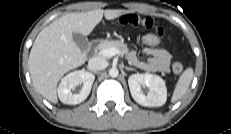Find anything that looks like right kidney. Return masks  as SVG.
I'll return each mask as SVG.
<instances>
[{
  "label": "right kidney",
  "instance_id": "obj_1",
  "mask_svg": "<svg viewBox=\"0 0 231 134\" xmlns=\"http://www.w3.org/2000/svg\"><path fill=\"white\" fill-rule=\"evenodd\" d=\"M95 76L87 71L79 70L67 74L60 82L58 96L62 103L75 105L83 102L91 91ZM79 84H83L79 93L74 94L72 90Z\"/></svg>",
  "mask_w": 231,
  "mask_h": 134
}]
</instances>
